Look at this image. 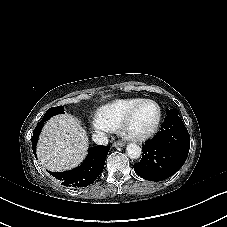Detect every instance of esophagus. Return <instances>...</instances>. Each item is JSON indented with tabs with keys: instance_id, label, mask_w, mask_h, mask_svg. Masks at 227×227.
I'll return each mask as SVG.
<instances>
[{
	"instance_id": "esophagus-1",
	"label": "esophagus",
	"mask_w": 227,
	"mask_h": 227,
	"mask_svg": "<svg viewBox=\"0 0 227 227\" xmlns=\"http://www.w3.org/2000/svg\"><path fill=\"white\" fill-rule=\"evenodd\" d=\"M112 146L113 147H118V146L123 147V146H125V142H123V141H115V142H113Z\"/></svg>"
}]
</instances>
